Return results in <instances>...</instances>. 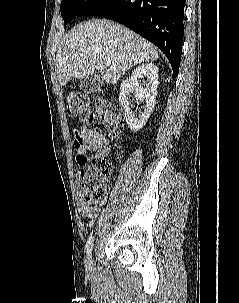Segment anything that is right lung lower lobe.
<instances>
[{
    "label": "right lung lower lobe",
    "instance_id": "right-lung-lower-lobe-1",
    "mask_svg": "<svg viewBox=\"0 0 239 303\" xmlns=\"http://www.w3.org/2000/svg\"><path fill=\"white\" fill-rule=\"evenodd\" d=\"M185 0H106L88 15L117 21L159 47L178 75Z\"/></svg>",
    "mask_w": 239,
    "mask_h": 303
}]
</instances>
